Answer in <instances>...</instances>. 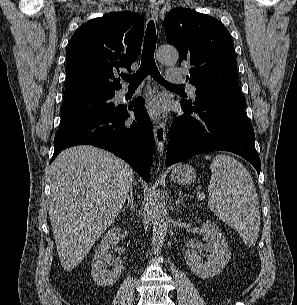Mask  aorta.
Segmentation results:
<instances>
[{
  "instance_id": "1",
  "label": "aorta",
  "mask_w": 297,
  "mask_h": 305,
  "mask_svg": "<svg viewBox=\"0 0 297 305\" xmlns=\"http://www.w3.org/2000/svg\"><path fill=\"white\" fill-rule=\"evenodd\" d=\"M178 58L179 53L174 47L162 46L157 51V59L162 64L173 65L177 63ZM151 211L153 229L151 245L152 250L158 253L165 242L169 221L165 197L159 189H155L152 192Z\"/></svg>"
}]
</instances>
